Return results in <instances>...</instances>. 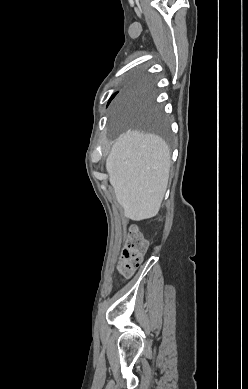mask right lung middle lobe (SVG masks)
<instances>
[{"label":"right lung middle lobe","mask_w":248,"mask_h":389,"mask_svg":"<svg viewBox=\"0 0 248 389\" xmlns=\"http://www.w3.org/2000/svg\"><path fill=\"white\" fill-rule=\"evenodd\" d=\"M115 94L110 98L108 104ZM128 117L133 125L159 134L166 140H170L164 118L161 111L153 104L150 96L143 95L141 98L133 101L127 107Z\"/></svg>","instance_id":"dd1d6c3e"}]
</instances>
